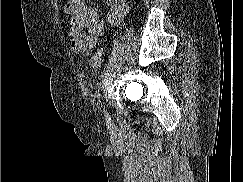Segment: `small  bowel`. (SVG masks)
<instances>
[{"mask_svg": "<svg viewBox=\"0 0 243 182\" xmlns=\"http://www.w3.org/2000/svg\"><path fill=\"white\" fill-rule=\"evenodd\" d=\"M109 7L106 20L99 18L98 9L86 0H67L65 12L69 15V36L73 52L89 55L108 25L117 26L126 15L127 0H102Z\"/></svg>", "mask_w": 243, "mask_h": 182, "instance_id": "1", "label": "small bowel"}]
</instances>
